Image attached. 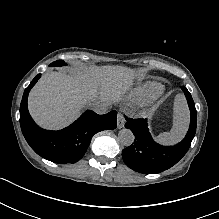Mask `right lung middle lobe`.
Instances as JSON below:
<instances>
[{"mask_svg":"<svg viewBox=\"0 0 219 219\" xmlns=\"http://www.w3.org/2000/svg\"><path fill=\"white\" fill-rule=\"evenodd\" d=\"M62 65H64L63 60H57V61L50 64V66H62Z\"/></svg>","mask_w":219,"mask_h":219,"instance_id":"right-lung-middle-lobe-1","label":"right lung middle lobe"}]
</instances>
